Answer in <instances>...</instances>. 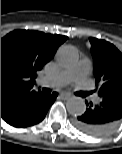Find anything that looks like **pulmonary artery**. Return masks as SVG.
Listing matches in <instances>:
<instances>
[{
  "mask_svg": "<svg viewBox=\"0 0 122 154\" xmlns=\"http://www.w3.org/2000/svg\"><path fill=\"white\" fill-rule=\"evenodd\" d=\"M90 70L91 62L89 59L84 58L75 66L60 72L56 76L46 78V81L49 85L56 87L65 86L72 81H76L81 85H84L87 82V77ZM94 101L95 103H99L100 99L95 98Z\"/></svg>",
  "mask_w": 122,
  "mask_h": 154,
  "instance_id": "obj_1",
  "label": "pulmonary artery"
}]
</instances>
